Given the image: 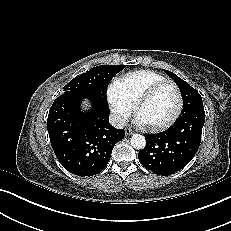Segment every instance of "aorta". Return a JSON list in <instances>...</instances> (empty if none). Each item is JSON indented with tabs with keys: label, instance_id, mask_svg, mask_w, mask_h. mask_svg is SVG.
<instances>
[{
	"label": "aorta",
	"instance_id": "obj_1",
	"mask_svg": "<svg viewBox=\"0 0 231 231\" xmlns=\"http://www.w3.org/2000/svg\"><path fill=\"white\" fill-rule=\"evenodd\" d=\"M130 143L131 146L134 147L135 149H144L146 145V140L145 137L141 134H133L130 138Z\"/></svg>",
	"mask_w": 231,
	"mask_h": 231
}]
</instances>
